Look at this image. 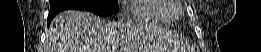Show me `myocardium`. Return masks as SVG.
<instances>
[{
    "mask_svg": "<svg viewBox=\"0 0 261 52\" xmlns=\"http://www.w3.org/2000/svg\"><path fill=\"white\" fill-rule=\"evenodd\" d=\"M180 15L179 11H173V17L176 18Z\"/></svg>",
    "mask_w": 261,
    "mask_h": 52,
    "instance_id": "1",
    "label": "myocardium"
}]
</instances>
